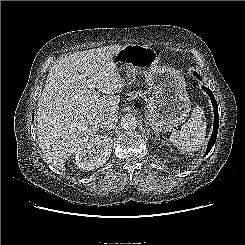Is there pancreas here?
Here are the masks:
<instances>
[{"label":"pancreas","instance_id":"obj_1","mask_svg":"<svg viewBox=\"0 0 245 245\" xmlns=\"http://www.w3.org/2000/svg\"><path fill=\"white\" fill-rule=\"evenodd\" d=\"M127 96H129L131 99L136 98L138 96L142 97V98H146V93L139 90V91H132L127 93Z\"/></svg>","mask_w":245,"mask_h":245}]
</instances>
